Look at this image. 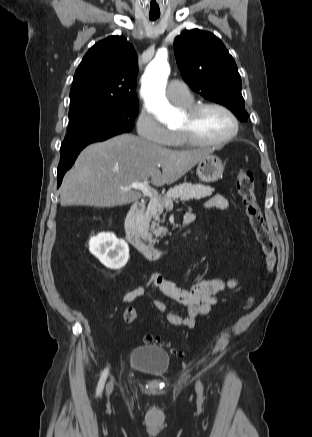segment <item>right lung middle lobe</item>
<instances>
[{"instance_id":"dd1d6c3e","label":"right lung middle lobe","mask_w":312,"mask_h":437,"mask_svg":"<svg viewBox=\"0 0 312 437\" xmlns=\"http://www.w3.org/2000/svg\"><path fill=\"white\" fill-rule=\"evenodd\" d=\"M137 112L138 103L93 102L70 107L68 133L60 153L131 131Z\"/></svg>"}]
</instances>
